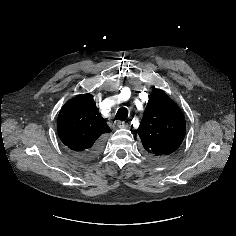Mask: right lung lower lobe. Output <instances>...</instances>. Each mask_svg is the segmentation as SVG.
<instances>
[{
  "label": "right lung lower lobe",
  "mask_w": 236,
  "mask_h": 236,
  "mask_svg": "<svg viewBox=\"0 0 236 236\" xmlns=\"http://www.w3.org/2000/svg\"><path fill=\"white\" fill-rule=\"evenodd\" d=\"M103 148V140L99 139L90 149L76 152L75 155L81 160H91L96 157Z\"/></svg>",
  "instance_id": "1"
}]
</instances>
